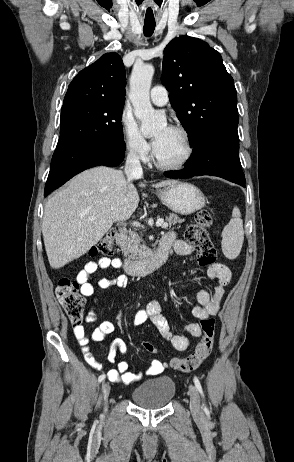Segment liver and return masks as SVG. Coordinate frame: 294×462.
I'll use <instances>...</instances> for the list:
<instances>
[{"mask_svg":"<svg viewBox=\"0 0 294 462\" xmlns=\"http://www.w3.org/2000/svg\"><path fill=\"white\" fill-rule=\"evenodd\" d=\"M174 183L163 180L153 187ZM138 204L137 189L122 171L101 166L76 175L45 206L42 234L50 266L59 269L85 254L115 222L130 218Z\"/></svg>","mask_w":294,"mask_h":462,"instance_id":"1","label":"liver"}]
</instances>
